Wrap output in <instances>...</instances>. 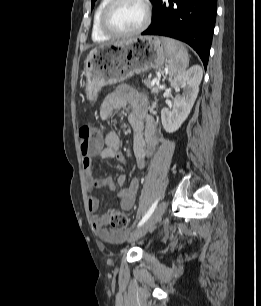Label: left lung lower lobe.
Masks as SVG:
<instances>
[{"instance_id":"1","label":"left lung lower lobe","mask_w":261,"mask_h":306,"mask_svg":"<svg viewBox=\"0 0 261 306\" xmlns=\"http://www.w3.org/2000/svg\"><path fill=\"white\" fill-rule=\"evenodd\" d=\"M153 21L141 35H162L189 44L206 68L217 0H154Z\"/></svg>"}]
</instances>
